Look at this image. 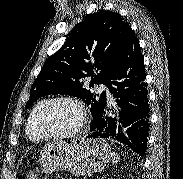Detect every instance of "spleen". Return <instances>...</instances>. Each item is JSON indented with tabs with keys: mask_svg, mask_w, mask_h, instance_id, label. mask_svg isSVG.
Instances as JSON below:
<instances>
[{
	"mask_svg": "<svg viewBox=\"0 0 183 179\" xmlns=\"http://www.w3.org/2000/svg\"><path fill=\"white\" fill-rule=\"evenodd\" d=\"M119 160H120V157L118 156V154L115 153V152H112V161H113V163H118Z\"/></svg>",
	"mask_w": 183,
	"mask_h": 179,
	"instance_id": "spleen-1",
	"label": "spleen"
}]
</instances>
